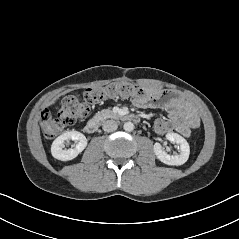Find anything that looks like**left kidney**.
<instances>
[{
  "instance_id": "obj_1",
  "label": "left kidney",
  "mask_w": 239,
  "mask_h": 239,
  "mask_svg": "<svg viewBox=\"0 0 239 239\" xmlns=\"http://www.w3.org/2000/svg\"><path fill=\"white\" fill-rule=\"evenodd\" d=\"M166 138L180 146V153L177 155H169L163 150L161 144L156 142L153 147L156 157L167 165L179 166L184 164L188 160L190 154L188 142L182 136L173 132L167 133Z\"/></svg>"
}]
</instances>
